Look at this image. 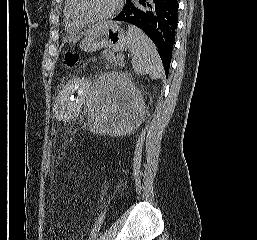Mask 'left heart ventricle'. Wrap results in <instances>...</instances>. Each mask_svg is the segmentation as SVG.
I'll return each mask as SVG.
<instances>
[{
    "instance_id": "b2bd125f",
    "label": "left heart ventricle",
    "mask_w": 257,
    "mask_h": 240,
    "mask_svg": "<svg viewBox=\"0 0 257 240\" xmlns=\"http://www.w3.org/2000/svg\"><path fill=\"white\" fill-rule=\"evenodd\" d=\"M114 0H76L75 12L83 20H91L106 14Z\"/></svg>"
}]
</instances>
